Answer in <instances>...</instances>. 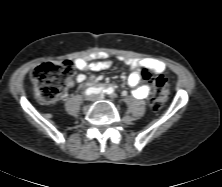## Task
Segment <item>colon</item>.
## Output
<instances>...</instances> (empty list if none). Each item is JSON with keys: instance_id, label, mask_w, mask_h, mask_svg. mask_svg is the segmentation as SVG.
<instances>
[{"instance_id": "1", "label": "colon", "mask_w": 222, "mask_h": 187, "mask_svg": "<svg viewBox=\"0 0 222 187\" xmlns=\"http://www.w3.org/2000/svg\"><path fill=\"white\" fill-rule=\"evenodd\" d=\"M142 75L146 82L153 84L151 105L154 110H159L169 98L165 80L162 77L153 78L147 71H143ZM72 79L73 68L69 61L42 63L31 73L34 95L42 104L55 102Z\"/></svg>"}]
</instances>
